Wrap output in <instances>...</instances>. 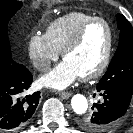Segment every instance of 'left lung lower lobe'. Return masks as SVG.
<instances>
[{
  "label": "left lung lower lobe",
  "instance_id": "0a47b994",
  "mask_svg": "<svg viewBox=\"0 0 133 133\" xmlns=\"http://www.w3.org/2000/svg\"><path fill=\"white\" fill-rule=\"evenodd\" d=\"M98 92L104 100L94 103L92 107L89 122L95 130L87 131L90 133H99L115 124L125 114L133 95L120 88H105Z\"/></svg>",
  "mask_w": 133,
  "mask_h": 133
}]
</instances>
